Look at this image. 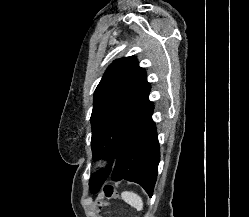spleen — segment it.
<instances>
[{"label":"spleen","instance_id":"1","mask_svg":"<svg viewBox=\"0 0 249 217\" xmlns=\"http://www.w3.org/2000/svg\"><path fill=\"white\" fill-rule=\"evenodd\" d=\"M123 200L136 208L138 211L143 209V201L142 198L134 192L125 191L122 193Z\"/></svg>","mask_w":249,"mask_h":217}]
</instances>
